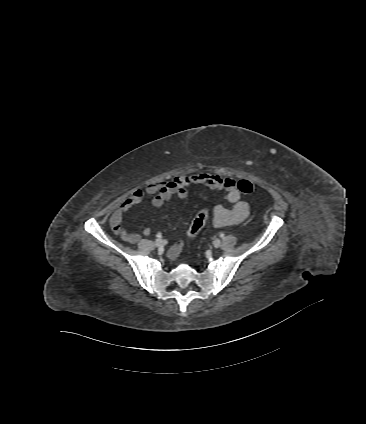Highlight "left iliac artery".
I'll use <instances>...</instances> for the list:
<instances>
[{
  "label": "left iliac artery",
  "instance_id": "1",
  "mask_svg": "<svg viewBox=\"0 0 366 424\" xmlns=\"http://www.w3.org/2000/svg\"><path fill=\"white\" fill-rule=\"evenodd\" d=\"M225 234L224 233H220V237L224 238Z\"/></svg>",
  "mask_w": 366,
  "mask_h": 424
}]
</instances>
